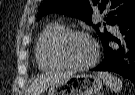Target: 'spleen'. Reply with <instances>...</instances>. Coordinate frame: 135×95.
I'll list each match as a JSON object with an SVG mask.
<instances>
[{
	"label": "spleen",
	"instance_id": "1",
	"mask_svg": "<svg viewBox=\"0 0 135 95\" xmlns=\"http://www.w3.org/2000/svg\"><path fill=\"white\" fill-rule=\"evenodd\" d=\"M99 77L103 80L104 84L114 92H119L122 88V81L109 73L101 72Z\"/></svg>",
	"mask_w": 135,
	"mask_h": 95
}]
</instances>
